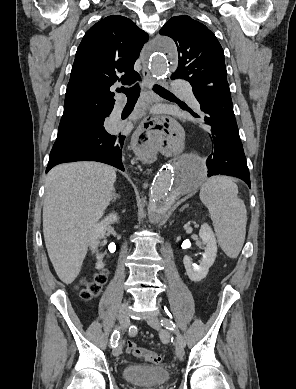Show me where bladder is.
I'll list each match as a JSON object with an SVG mask.
<instances>
[{
    "label": "bladder",
    "instance_id": "31cf9c89",
    "mask_svg": "<svg viewBox=\"0 0 296 389\" xmlns=\"http://www.w3.org/2000/svg\"><path fill=\"white\" fill-rule=\"evenodd\" d=\"M122 377L133 385L153 387L168 382L170 373L161 366L129 364L123 368Z\"/></svg>",
    "mask_w": 296,
    "mask_h": 389
}]
</instances>
